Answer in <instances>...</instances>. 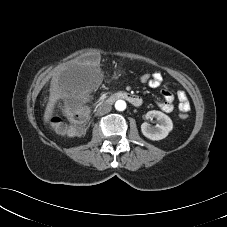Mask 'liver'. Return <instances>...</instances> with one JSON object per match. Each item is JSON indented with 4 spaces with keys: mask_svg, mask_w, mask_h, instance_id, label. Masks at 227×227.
I'll return each instance as SVG.
<instances>
[{
    "mask_svg": "<svg viewBox=\"0 0 227 227\" xmlns=\"http://www.w3.org/2000/svg\"><path fill=\"white\" fill-rule=\"evenodd\" d=\"M92 71L93 68L88 64L77 61L68 62L60 67L50 83L49 101L44 112L45 123H48L53 116L54 105L57 100L75 94L79 83Z\"/></svg>",
    "mask_w": 227,
    "mask_h": 227,
    "instance_id": "liver-1",
    "label": "liver"
}]
</instances>
